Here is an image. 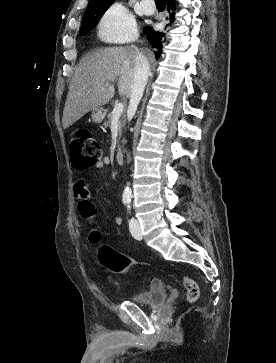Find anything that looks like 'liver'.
I'll return each instance as SVG.
<instances>
[{
    "label": "liver",
    "mask_w": 276,
    "mask_h": 363,
    "mask_svg": "<svg viewBox=\"0 0 276 363\" xmlns=\"http://www.w3.org/2000/svg\"><path fill=\"white\" fill-rule=\"evenodd\" d=\"M142 51L135 47H109L87 54L79 63L69 85L63 111L62 126H71L86 113L107 104L114 96L113 82L118 91L130 97L135 62ZM145 56L151 57L150 52ZM109 84L106 86V84Z\"/></svg>",
    "instance_id": "6515ba94"
}]
</instances>
